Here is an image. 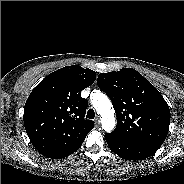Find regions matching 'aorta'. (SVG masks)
<instances>
[{
	"label": "aorta",
	"instance_id": "1",
	"mask_svg": "<svg viewBox=\"0 0 184 184\" xmlns=\"http://www.w3.org/2000/svg\"><path fill=\"white\" fill-rule=\"evenodd\" d=\"M92 103L97 113L101 116L103 129L106 132L112 131L115 127V117L114 109L109 98L103 93H98Z\"/></svg>",
	"mask_w": 184,
	"mask_h": 184
}]
</instances>
